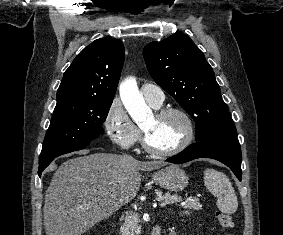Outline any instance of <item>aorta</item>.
Wrapping results in <instances>:
<instances>
[{"label": "aorta", "mask_w": 283, "mask_h": 235, "mask_svg": "<svg viewBox=\"0 0 283 235\" xmlns=\"http://www.w3.org/2000/svg\"><path fill=\"white\" fill-rule=\"evenodd\" d=\"M122 103L136 123L146 119L150 113V108L146 105L143 95L139 92L134 78L125 79L119 87Z\"/></svg>", "instance_id": "aorta-1"}]
</instances>
